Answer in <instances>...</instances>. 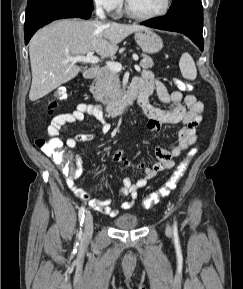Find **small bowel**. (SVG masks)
<instances>
[{"instance_id":"small-bowel-1","label":"small bowel","mask_w":243,"mask_h":289,"mask_svg":"<svg viewBox=\"0 0 243 289\" xmlns=\"http://www.w3.org/2000/svg\"><path fill=\"white\" fill-rule=\"evenodd\" d=\"M132 88L143 92L139 107L142 113L149 119L147 129L151 132H160L165 125H179L177 144L170 150L163 147L156 149L157 162L152 165L144 163L133 164L125 155L124 151L119 150L114 155L115 162L123 165L125 168H139L144 176L133 182L130 178L123 179L120 193L130 196V200L121 204V209L127 210L133 206L137 198L138 191L144 188L148 181L155 178L160 172L172 168L175 164V158L184 153L196 140V129L202 121L201 113L203 104L192 94H183L180 91L169 92L167 87L158 80L154 74L145 70L132 82ZM156 92L159 100L163 103H172L173 107L169 110H161L149 103V96ZM89 115L101 123V132L107 134L111 131V124L107 122L99 106L80 103L74 111L56 115L50 125L47 133L50 138H58L65 132L67 127L76 122L83 121ZM92 134H79L66 140V146L74 149L79 142L91 141ZM75 166L67 175L66 184L68 188L80 200L87 203L91 208L102 215L115 217L119 210L111 207V200H99L91 196L83 186L76 183V180L84 171V164L79 155H74Z\"/></svg>"}]
</instances>
